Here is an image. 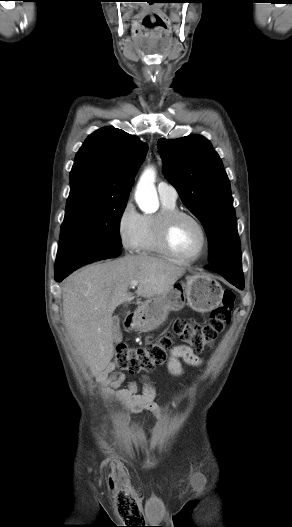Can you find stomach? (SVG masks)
<instances>
[{
    "mask_svg": "<svg viewBox=\"0 0 292 527\" xmlns=\"http://www.w3.org/2000/svg\"><path fill=\"white\" fill-rule=\"evenodd\" d=\"M223 289L205 274L187 276L166 292L144 302L134 314L132 327L140 332L152 331L165 321L170 311H179L185 305L200 313L210 312L222 301Z\"/></svg>",
    "mask_w": 292,
    "mask_h": 527,
    "instance_id": "0dacf381",
    "label": "stomach"
}]
</instances>
